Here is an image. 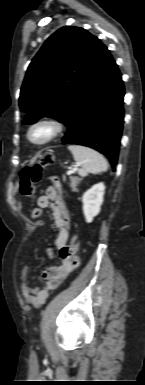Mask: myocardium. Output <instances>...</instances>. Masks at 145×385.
<instances>
[{
	"label": "myocardium",
	"mask_w": 145,
	"mask_h": 385,
	"mask_svg": "<svg viewBox=\"0 0 145 385\" xmlns=\"http://www.w3.org/2000/svg\"><path fill=\"white\" fill-rule=\"evenodd\" d=\"M39 129L47 130V135L36 140L33 137L34 132ZM63 131V125L56 119L53 118H41L33 122L27 130V140L34 146H44L55 140Z\"/></svg>",
	"instance_id": "1"
}]
</instances>
